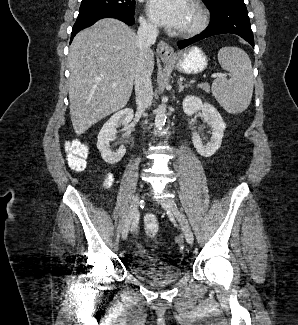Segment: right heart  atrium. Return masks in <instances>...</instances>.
<instances>
[{
    "mask_svg": "<svg viewBox=\"0 0 298 325\" xmlns=\"http://www.w3.org/2000/svg\"><path fill=\"white\" fill-rule=\"evenodd\" d=\"M142 27L144 30H155L154 26L144 18L142 19Z\"/></svg>",
    "mask_w": 298,
    "mask_h": 325,
    "instance_id": "obj_1",
    "label": "right heart atrium"
}]
</instances>
